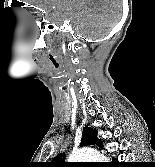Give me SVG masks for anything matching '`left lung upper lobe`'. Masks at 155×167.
I'll list each match as a JSON object with an SVG mask.
<instances>
[{
    "mask_svg": "<svg viewBox=\"0 0 155 167\" xmlns=\"http://www.w3.org/2000/svg\"><path fill=\"white\" fill-rule=\"evenodd\" d=\"M91 144H97L99 147L102 146V143L97 139V131L90 127H84L82 133V139L80 146H86ZM65 154H58L51 162L48 163V167H72V163L64 162Z\"/></svg>",
    "mask_w": 155,
    "mask_h": 167,
    "instance_id": "left-lung-upper-lobe-1",
    "label": "left lung upper lobe"
}]
</instances>
